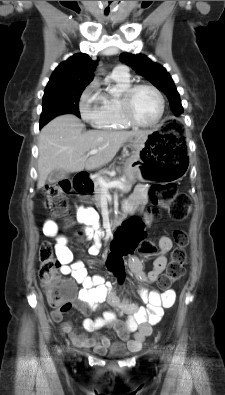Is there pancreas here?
<instances>
[{"label":"pancreas","mask_w":225,"mask_h":395,"mask_svg":"<svg viewBox=\"0 0 225 395\" xmlns=\"http://www.w3.org/2000/svg\"><path fill=\"white\" fill-rule=\"evenodd\" d=\"M101 178L103 180H105L106 182L111 181V179L109 177H107L106 175L101 176ZM114 180H118L121 183L124 184L125 188L122 189V192L127 193L131 190L133 184L135 183V179H128L126 176H123L121 178H117ZM95 183V188H94V200L96 201L97 205H100V198H101V194H102V190L103 188L101 187L100 183L98 182V177L94 180Z\"/></svg>","instance_id":"cf45deb5"}]
</instances>
